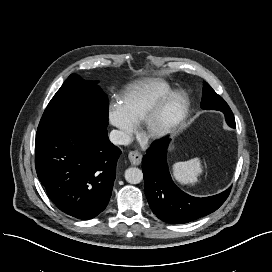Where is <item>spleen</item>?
Masks as SVG:
<instances>
[{"label": "spleen", "instance_id": "spleen-1", "mask_svg": "<svg viewBox=\"0 0 272 272\" xmlns=\"http://www.w3.org/2000/svg\"><path fill=\"white\" fill-rule=\"evenodd\" d=\"M202 171L201 160L198 157L185 162H177L172 165L173 177L182 185H193L196 183Z\"/></svg>", "mask_w": 272, "mask_h": 272}]
</instances>
